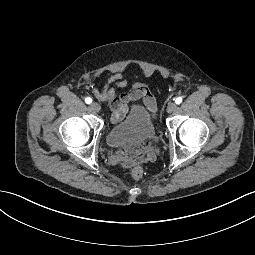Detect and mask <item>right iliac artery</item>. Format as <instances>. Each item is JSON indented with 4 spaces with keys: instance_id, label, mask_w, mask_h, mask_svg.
<instances>
[{
    "instance_id": "obj_1",
    "label": "right iliac artery",
    "mask_w": 255,
    "mask_h": 255,
    "mask_svg": "<svg viewBox=\"0 0 255 255\" xmlns=\"http://www.w3.org/2000/svg\"><path fill=\"white\" fill-rule=\"evenodd\" d=\"M85 102H86L87 104H90V103L92 102V99H91L90 97H87V98L85 99Z\"/></svg>"
}]
</instances>
